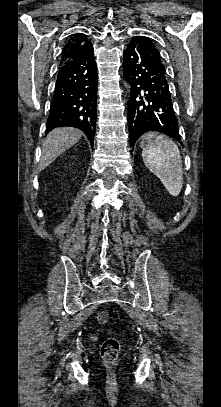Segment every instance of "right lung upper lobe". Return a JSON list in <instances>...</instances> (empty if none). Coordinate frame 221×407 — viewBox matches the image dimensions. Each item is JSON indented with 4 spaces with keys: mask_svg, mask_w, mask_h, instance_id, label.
<instances>
[{
    "mask_svg": "<svg viewBox=\"0 0 221 407\" xmlns=\"http://www.w3.org/2000/svg\"><path fill=\"white\" fill-rule=\"evenodd\" d=\"M90 43L86 35L82 33L73 34L63 48L60 65L83 54Z\"/></svg>",
    "mask_w": 221,
    "mask_h": 407,
    "instance_id": "right-lung-upper-lobe-1",
    "label": "right lung upper lobe"
}]
</instances>
